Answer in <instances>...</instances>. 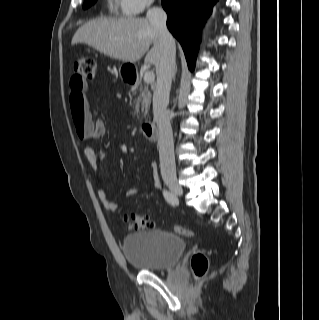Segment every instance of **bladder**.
Masks as SVG:
<instances>
[{
	"label": "bladder",
	"instance_id": "bladder-1",
	"mask_svg": "<svg viewBox=\"0 0 319 320\" xmlns=\"http://www.w3.org/2000/svg\"><path fill=\"white\" fill-rule=\"evenodd\" d=\"M186 241L177 233L149 230L124 238L123 254L134 267L160 272L175 267L186 250Z\"/></svg>",
	"mask_w": 319,
	"mask_h": 320
}]
</instances>
